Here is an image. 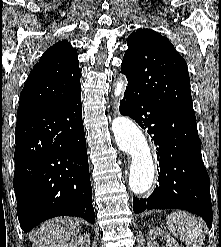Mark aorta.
<instances>
[{"label": "aorta", "instance_id": "762f6f07", "mask_svg": "<svg viewBox=\"0 0 221 247\" xmlns=\"http://www.w3.org/2000/svg\"><path fill=\"white\" fill-rule=\"evenodd\" d=\"M124 81L120 80L115 89L118 98L124 92ZM112 131L118 147L130 155L129 187L135 194L147 192L154 179V163L147 138L130 119L116 117L112 122Z\"/></svg>", "mask_w": 221, "mask_h": 247}]
</instances>
